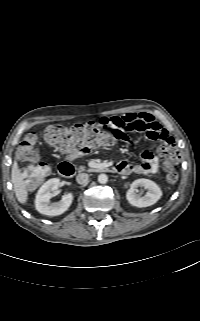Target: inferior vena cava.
Returning <instances> with one entry per match:
<instances>
[{
    "mask_svg": "<svg viewBox=\"0 0 200 321\" xmlns=\"http://www.w3.org/2000/svg\"><path fill=\"white\" fill-rule=\"evenodd\" d=\"M89 179V175L86 173H80L76 176V181L79 184H85Z\"/></svg>",
    "mask_w": 200,
    "mask_h": 321,
    "instance_id": "602c4592",
    "label": "inferior vena cava"
}]
</instances>
